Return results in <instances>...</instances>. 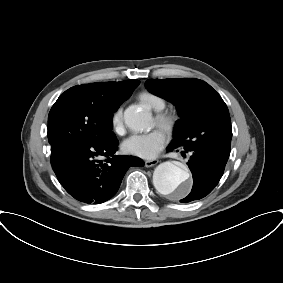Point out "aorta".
Returning <instances> with one entry per match:
<instances>
[{
    "mask_svg": "<svg viewBox=\"0 0 283 283\" xmlns=\"http://www.w3.org/2000/svg\"><path fill=\"white\" fill-rule=\"evenodd\" d=\"M124 119L126 125L134 131L148 129L151 124L150 113L137 106L128 107L124 112ZM189 177L187 168L164 162L156 167L153 184L160 194L181 198L189 192Z\"/></svg>",
    "mask_w": 283,
    "mask_h": 283,
    "instance_id": "762f6f07",
    "label": "aorta"
}]
</instances>
